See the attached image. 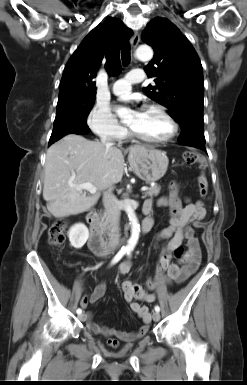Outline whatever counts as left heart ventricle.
Instances as JSON below:
<instances>
[{
	"mask_svg": "<svg viewBox=\"0 0 247 385\" xmlns=\"http://www.w3.org/2000/svg\"><path fill=\"white\" fill-rule=\"evenodd\" d=\"M129 126L142 136L152 139L164 138L171 130L168 121L154 110H142L132 114Z\"/></svg>",
	"mask_w": 247,
	"mask_h": 385,
	"instance_id": "left-heart-ventricle-1",
	"label": "left heart ventricle"
}]
</instances>
